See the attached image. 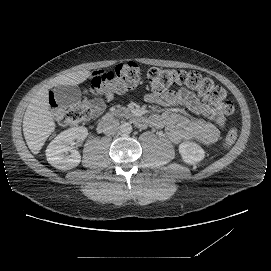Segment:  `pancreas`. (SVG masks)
Returning a JSON list of instances; mask_svg holds the SVG:
<instances>
[{
  "mask_svg": "<svg viewBox=\"0 0 271 271\" xmlns=\"http://www.w3.org/2000/svg\"><path fill=\"white\" fill-rule=\"evenodd\" d=\"M122 110L124 111V110H126V108H122Z\"/></svg>",
  "mask_w": 271,
  "mask_h": 271,
  "instance_id": "cf45deb5",
  "label": "pancreas"
}]
</instances>
